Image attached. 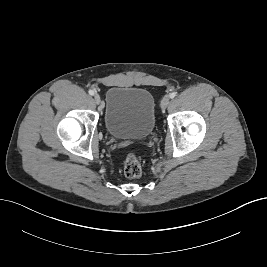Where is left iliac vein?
Wrapping results in <instances>:
<instances>
[{
    "label": "left iliac vein",
    "mask_w": 267,
    "mask_h": 267,
    "mask_svg": "<svg viewBox=\"0 0 267 267\" xmlns=\"http://www.w3.org/2000/svg\"><path fill=\"white\" fill-rule=\"evenodd\" d=\"M170 103V98L168 96H165L161 101V108L165 109Z\"/></svg>",
    "instance_id": "1"
}]
</instances>
